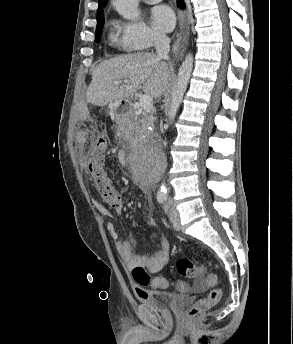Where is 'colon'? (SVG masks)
Instances as JSON below:
<instances>
[{"instance_id":"obj_1","label":"colon","mask_w":293,"mask_h":344,"mask_svg":"<svg viewBox=\"0 0 293 344\" xmlns=\"http://www.w3.org/2000/svg\"><path fill=\"white\" fill-rule=\"evenodd\" d=\"M107 149V139L99 137L87 157V168L103 200L109 205L117 207L121 203V196L108 177L105 169ZM176 269L185 278L198 279L204 274L203 266L197 265L187 258L179 259L176 262ZM131 275L135 283L139 286L151 284L157 288H165L168 284L164 278L151 277L143 267L132 268ZM208 279L212 282L216 279V276L210 274ZM177 286L181 290L185 288L182 282H178ZM222 293V289L220 288L213 289L205 298L200 299L188 308L187 316L190 319H194L205 311L210 310L220 300Z\"/></svg>"}]
</instances>
